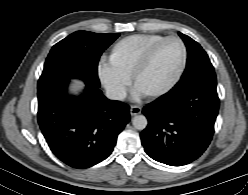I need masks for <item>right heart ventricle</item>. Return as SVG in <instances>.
Instances as JSON below:
<instances>
[{"instance_id": "obj_1", "label": "right heart ventricle", "mask_w": 248, "mask_h": 195, "mask_svg": "<svg viewBox=\"0 0 248 195\" xmlns=\"http://www.w3.org/2000/svg\"><path fill=\"white\" fill-rule=\"evenodd\" d=\"M166 36L161 34H148L130 37L122 41L115 49L111 65L116 72L131 77L148 53Z\"/></svg>"}]
</instances>
